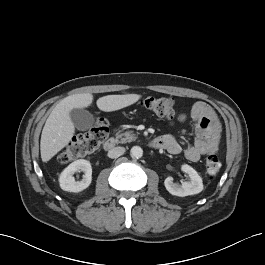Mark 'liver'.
Here are the masks:
<instances>
[{"label": "liver", "instance_id": "1", "mask_svg": "<svg viewBox=\"0 0 265 265\" xmlns=\"http://www.w3.org/2000/svg\"><path fill=\"white\" fill-rule=\"evenodd\" d=\"M139 94L107 95L97 100V107L105 112L116 111L136 103ZM93 102L90 93L74 94L64 98L52 110L42 130L40 151L43 162H48L71 141L75 127L70 118L74 108H86Z\"/></svg>", "mask_w": 265, "mask_h": 265}]
</instances>
